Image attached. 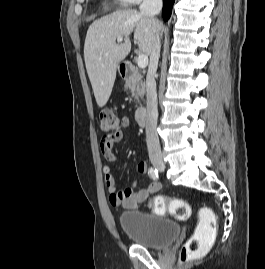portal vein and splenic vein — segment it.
<instances>
[{"label":"portal vein and splenic vein","instance_id":"1","mask_svg":"<svg viewBox=\"0 0 265 269\" xmlns=\"http://www.w3.org/2000/svg\"><path fill=\"white\" fill-rule=\"evenodd\" d=\"M123 38H118V42H122ZM137 65L139 68L144 69L148 65V56L145 54H140L137 59Z\"/></svg>","mask_w":265,"mask_h":269}]
</instances>
